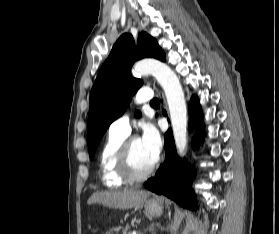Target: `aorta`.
Returning a JSON list of instances; mask_svg holds the SVG:
<instances>
[{
	"instance_id": "762f6f07",
	"label": "aorta",
	"mask_w": 279,
	"mask_h": 234,
	"mask_svg": "<svg viewBox=\"0 0 279 234\" xmlns=\"http://www.w3.org/2000/svg\"><path fill=\"white\" fill-rule=\"evenodd\" d=\"M135 77L152 74L163 88L170 112V120L177 152L183 157L187 150V106L177 75L165 63L145 59L134 65Z\"/></svg>"
}]
</instances>
